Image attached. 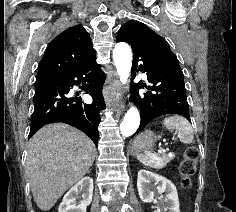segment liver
Returning <instances> with one entry per match:
<instances>
[{"label":"liver","instance_id":"1","mask_svg":"<svg viewBox=\"0 0 236 212\" xmlns=\"http://www.w3.org/2000/svg\"><path fill=\"white\" fill-rule=\"evenodd\" d=\"M96 148L92 140L65 123L41 128L29 141L26 176L37 206L50 210L81 180L92 166Z\"/></svg>","mask_w":236,"mask_h":212}]
</instances>
